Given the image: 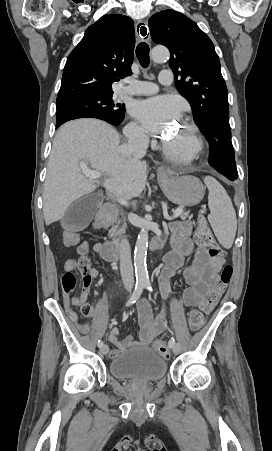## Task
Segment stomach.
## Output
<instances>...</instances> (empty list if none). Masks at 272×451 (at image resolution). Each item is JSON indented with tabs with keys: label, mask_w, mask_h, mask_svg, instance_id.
Instances as JSON below:
<instances>
[{
	"label": "stomach",
	"mask_w": 272,
	"mask_h": 451,
	"mask_svg": "<svg viewBox=\"0 0 272 451\" xmlns=\"http://www.w3.org/2000/svg\"><path fill=\"white\" fill-rule=\"evenodd\" d=\"M157 180L168 200L178 206H196L205 194L203 184L195 176L168 174L167 178H163L158 174Z\"/></svg>",
	"instance_id": "stomach-1"
}]
</instances>
